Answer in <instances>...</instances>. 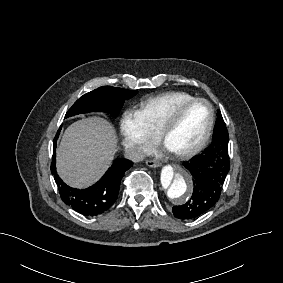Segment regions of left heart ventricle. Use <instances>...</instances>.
Here are the masks:
<instances>
[{
	"mask_svg": "<svg viewBox=\"0 0 283 283\" xmlns=\"http://www.w3.org/2000/svg\"><path fill=\"white\" fill-rule=\"evenodd\" d=\"M165 116V147L178 154L192 148L201 138L209 121V110L204 103H194L180 112L169 107Z\"/></svg>",
	"mask_w": 283,
	"mask_h": 283,
	"instance_id": "1",
	"label": "left heart ventricle"
}]
</instances>
